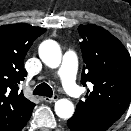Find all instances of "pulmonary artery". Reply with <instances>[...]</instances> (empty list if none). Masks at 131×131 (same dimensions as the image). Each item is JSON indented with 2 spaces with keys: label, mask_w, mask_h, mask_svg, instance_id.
<instances>
[{
  "label": "pulmonary artery",
  "mask_w": 131,
  "mask_h": 131,
  "mask_svg": "<svg viewBox=\"0 0 131 131\" xmlns=\"http://www.w3.org/2000/svg\"><path fill=\"white\" fill-rule=\"evenodd\" d=\"M76 71V55L72 52L65 53L58 73L64 89L74 99L80 96V88L76 83Z\"/></svg>",
  "instance_id": "obj_1"
}]
</instances>
